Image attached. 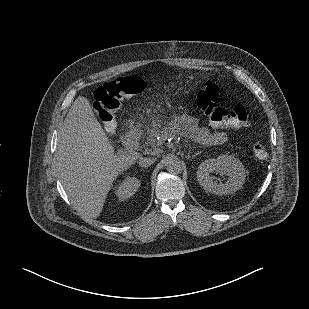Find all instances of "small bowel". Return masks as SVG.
Here are the masks:
<instances>
[{
	"instance_id": "c3829d8e",
	"label": "small bowel",
	"mask_w": 309,
	"mask_h": 309,
	"mask_svg": "<svg viewBox=\"0 0 309 309\" xmlns=\"http://www.w3.org/2000/svg\"><path fill=\"white\" fill-rule=\"evenodd\" d=\"M185 128L190 138L198 143L207 145H219L227 141L226 131L217 129L211 131L207 127L200 126L197 120L189 116L184 121Z\"/></svg>"
}]
</instances>
